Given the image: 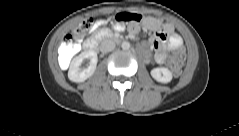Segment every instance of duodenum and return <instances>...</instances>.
I'll return each mask as SVG.
<instances>
[{"label":"duodenum","instance_id":"410a0bca","mask_svg":"<svg viewBox=\"0 0 239 136\" xmlns=\"http://www.w3.org/2000/svg\"><path fill=\"white\" fill-rule=\"evenodd\" d=\"M98 38H93L87 40L84 44L83 47L87 51H96L98 49ZM116 40H120L119 38H116Z\"/></svg>","mask_w":239,"mask_h":136}]
</instances>
